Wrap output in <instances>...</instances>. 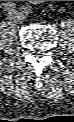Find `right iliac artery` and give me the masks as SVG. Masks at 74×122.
<instances>
[{
  "label": "right iliac artery",
  "mask_w": 74,
  "mask_h": 122,
  "mask_svg": "<svg viewBox=\"0 0 74 122\" xmlns=\"http://www.w3.org/2000/svg\"><path fill=\"white\" fill-rule=\"evenodd\" d=\"M16 5L13 2H6L4 3V8L8 11H13L15 9Z\"/></svg>",
  "instance_id": "1"
}]
</instances>
